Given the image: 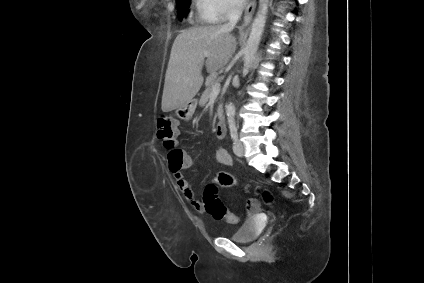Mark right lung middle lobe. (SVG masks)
<instances>
[{"mask_svg": "<svg viewBox=\"0 0 424 283\" xmlns=\"http://www.w3.org/2000/svg\"><path fill=\"white\" fill-rule=\"evenodd\" d=\"M178 5V16L181 20L183 16L187 14V11L189 9L190 0H177Z\"/></svg>", "mask_w": 424, "mask_h": 283, "instance_id": "1", "label": "right lung middle lobe"}]
</instances>
